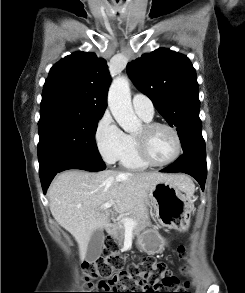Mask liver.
<instances>
[{
    "label": "liver",
    "instance_id": "1",
    "mask_svg": "<svg viewBox=\"0 0 245 293\" xmlns=\"http://www.w3.org/2000/svg\"><path fill=\"white\" fill-rule=\"evenodd\" d=\"M163 181L175 183L189 195L193 192L190 179L180 174L68 170L54 179L47 196L54 219L75 238L84 260L92 233L109 226L111 210L101 206L113 202L117 212H145L149 190Z\"/></svg>",
    "mask_w": 245,
    "mask_h": 293
}]
</instances>
